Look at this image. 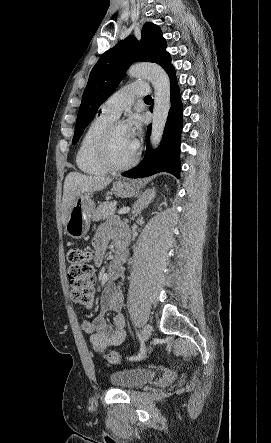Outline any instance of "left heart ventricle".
<instances>
[{"mask_svg": "<svg viewBox=\"0 0 271 443\" xmlns=\"http://www.w3.org/2000/svg\"><path fill=\"white\" fill-rule=\"evenodd\" d=\"M112 155L116 162L124 163L130 160L137 151V146L134 144L128 125L119 126L112 138Z\"/></svg>", "mask_w": 271, "mask_h": 443, "instance_id": "b2bd125f", "label": "left heart ventricle"}]
</instances>
